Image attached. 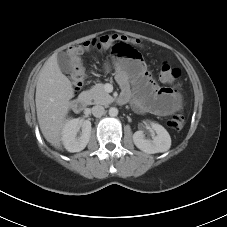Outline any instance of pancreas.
Listing matches in <instances>:
<instances>
[{"label":"pancreas","instance_id":"1","mask_svg":"<svg viewBox=\"0 0 227 227\" xmlns=\"http://www.w3.org/2000/svg\"><path fill=\"white\" fill-rule=\"evenodd\" d=\"M86 93L89 98V103L92 104L108 105L114 101V98L104 90V85L102 83L96 84Z\"/></svg>","mask_w":227,"mask_h":227}]
</instances>
